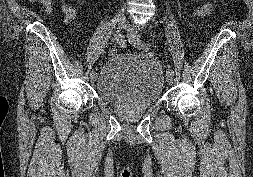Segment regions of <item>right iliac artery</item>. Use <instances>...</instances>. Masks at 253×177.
<instances>
[{
	"instance_id": "obj_1",
	"label": "right iliac artery",
	"mask_w": 253,
	"mask_h": 177,
	"mask_svg": "<svg viewBox=\"0 0 253 177\" xmlns=\"http://www.w3.org/2000/svg\"><path fill=\"white\" fill-rule=\"evenodd\" d=\"M115 41L121 46H125V39L124 36L121 33H118L115 35Z\"/></svg>"
}]
</instances>
